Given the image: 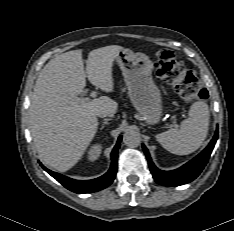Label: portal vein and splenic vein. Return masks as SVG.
I'll list each match as a JSON object with an SVG mask.
<instances>
[{
	"label": "portal vein and splenic vein",
	"instance_id": "portal-vein-and-splenic-vein-1",
	"mask_svg": "<svg viewBox=\"0 0 234 231\" xmlns=\"http://www.w3.org/2000/svg\"><path fill=\"white\" fill-rule=\"evenodd\" d=\"M97 96V93H96V91H92L91 93H90V97H92V98H95ZM90 100V98L89 97H85V98H76V101L77 102H84V101H89ZM174 118V117H173ZM176 126V125H175Z\"/></svg>",
	"mask_w": 234,
	"mask_h": 231
}]
</instances>
